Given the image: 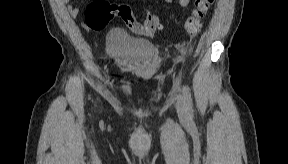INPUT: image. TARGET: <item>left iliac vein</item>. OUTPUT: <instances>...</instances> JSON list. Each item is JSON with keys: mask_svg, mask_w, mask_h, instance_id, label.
<instances>
[{"mask_svg": "<svg viewBox=\"0 0 288 164\" xmlns=\"http://www.w3.org/2000/svg\"><path fill=\"white\" fill-rule=\"evenodd\" d=\"M176 109L178 116L181 119L187 120L189 118V113L185 105L184 97L182 95H178L177 97Z\"/></svg>", "mask_w": 288, "mask_h": 164, "instance_id": "obj_1", "label": "left iliac vein"}]
</instances>
